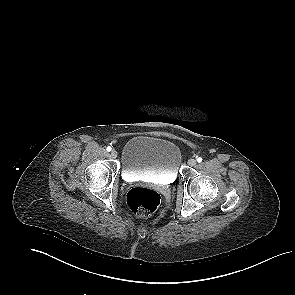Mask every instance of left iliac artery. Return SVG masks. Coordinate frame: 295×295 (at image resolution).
Instances as JSON below:
<instances>
[{"mask_svg": "<svg viewBox=\"0 0 295 295\" xmlns=\"http://www.w3.org/2000/svg\"><path fill=\"white\" fill-rule=\"evenodd\" d=\"M197 162H199V163L202 162V158L201 157H198L197 158Z\"/></svg>", "mask_w": 295, "mask_h": 295, "instance_id": "left-iliac-artery-1", "label": "left iliac artery"}]
</instances>
